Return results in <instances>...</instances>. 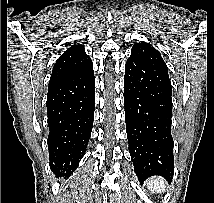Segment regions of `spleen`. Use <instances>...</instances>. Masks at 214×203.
Wrapping results in <instances>:
<instances>
[{"mask_svg":"<svg viewBox=\"0 0 214 203\" xmlns=\"http://www.w3.org/2000/svg\"><path fill=\"white\" fill-rule=\"evenodd\" d=\"M147 183L152 192L160 193L165 190V182L160 177H152Z\"/></svg>","mask_w":214,"mask_h":203,"instance_id":"3e777b00","label":"spleen"}]
</instances>
